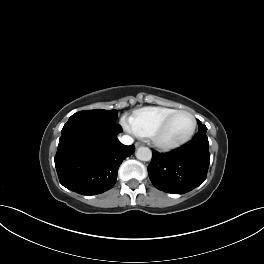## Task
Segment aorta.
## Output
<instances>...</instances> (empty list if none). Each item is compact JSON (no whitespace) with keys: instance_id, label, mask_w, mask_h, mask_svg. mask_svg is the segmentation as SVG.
Returning a JSON list of instances; mask_svg holds the SVG:
<instances>
[{"instance_id":"1","label":"aorta","mask_w":264,"mask_h":264,"mask_svg":"<svg viewBox=\"0 0 264 264\" xmlns=\"http://www.w3.org/2000/svg\"><path fill=\"white\" fill-rule=\"evenodd\" d=\"M136 158L141 161H150L152 152L148 147H139L136 151Z\"/></svg>"}]
</instances>
